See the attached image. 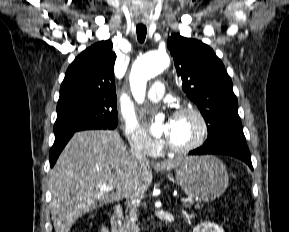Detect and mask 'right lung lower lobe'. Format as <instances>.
Returning a JSON list of instances; mask_svg holds the SVG:
<instances>
[{"instance_id": "1", "label": "right lung lower lobe", "mask_w": 289, "mask_h": 232, "mask_svg": "<svg viewBox=\"0 0 289 232\" xmlns=\"http://www.w3.org/2000/svg\"><path fill=\"white\" fill-rule=\"evenodd\" d=\"M74 133L75 132H70V133L55 137L54 144L49 153V161H50L51 167L54 166L59 154L61 153L64 146L67 144V142L73 136Z\"/></svg>"}]
</instances>
